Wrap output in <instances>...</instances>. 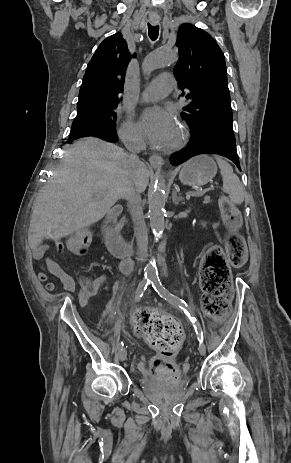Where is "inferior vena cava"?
I'll return each instance as SVG.
<instances>
[{
  "instance_id": "obj_1",
  "label": "inferior vena cava",
  "mask_w": 291,
  "mask_h": 463,
  "mask_svg": "<svg viewBox=\"0 0 291 463\" xmlns=\"http://www.w3.org/2000/svg\"><path fill=\"white\" fill-rule=\"evenodd\" d=\"M122 142L129 151L127 158L133 168L141 164L138 154L146 149V143L141 134L132 132L122 138ZM124 198L127 201L132 221L134 223V232L138 247V255L146 257L148 251L147 228L143 217V208L141 202L140 190L137 188L135 179L125 189Z\"/></svg>"
}]
</instances>
